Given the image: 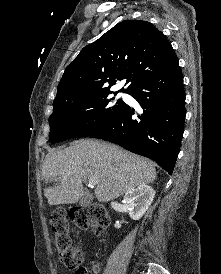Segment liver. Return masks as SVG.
I'll use <instances>...</instances> for the list:
<instances>
[{"label":"liver","instance_id":"6515ba94","mask_svg":"<svg viewBox=\"0 0 221 274\" xmlns=\"http://www.w3.org/2000/svg\"><path fill=\"white\" fill-rule=\"evenodd\" d=\"M42 176L49 205H61L82 198L86 179L97 180L94 196L108 202L139 185L152 183L157 174L153 163L145 158L113 144L84 139L63 150L50 151L42 165ZM51 182L53 185L47 186Z\"/></svg>","mask_w":221,"mask_h":274}]
</instances>
